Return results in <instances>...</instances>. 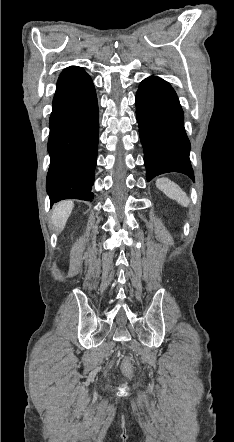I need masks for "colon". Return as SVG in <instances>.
<instances>
[{"mask_svg": "<svg viewBox=\"0 0 234 442\" xmlns=\"http://www.w3.org/2000/svg\"><path fill=\"white\" fill-rule=\"evenodd\" d=\"M122 368H123V372L126 374V375H131L132 374V367H131V361H130V358H125L124 360H123V363H122Z\"/></svg>", "mask_w": 234, "mask_h": 442, "instance_id": "colon-1", "label": "colon"}]
</instances>
